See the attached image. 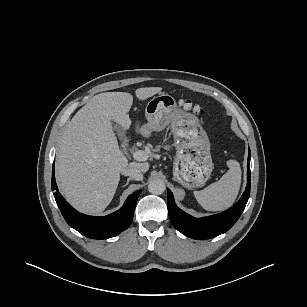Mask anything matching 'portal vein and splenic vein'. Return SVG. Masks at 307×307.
<instances>
[{"instance_id":"18ae733b","label":"portal vein and splenic vein","mask_w":307,"mask_h":307,"mask_svg":"<svg viewBox=\"0 0 307 307\" xmlns=\"http://www.w3.org/2000/svg\"><path fill=\"white\" fill-rule=\"evenodd\" d=\"M133 158H134L136 161H146V160H148L149 155H148V153L145 152V151L138 150V151H135V152L133 153Z\"/></svg>"}]
</instances>
